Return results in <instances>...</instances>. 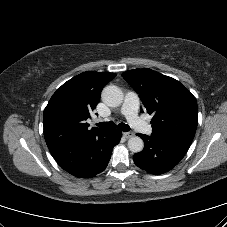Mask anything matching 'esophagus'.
<instances>
[{"label":"esophagus","mask_w":227,"mask_h":227,"mask_svg":"<svg viewBox=\"0 0 227 227\" xmlns=\"http://www.w3.org/2000/svg\"><path fill=\"white\" fill-rule=\"evenodd\" d=\"M123 136L125 137V138H131V137H133L134 136V133L133 132H124L123 133Z\"/></svg>","instance_id":"esophagus-1"}]
</instances>
